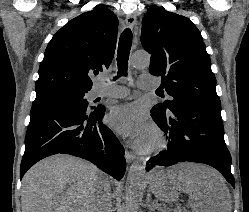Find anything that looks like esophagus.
I'll return each mask as SVG.
<instances>
[{
  "label": "esophagus",
  "instance_id": "1",
  "mask_svg": "<svg viewBox=\"0 0 249 212\" xmlns=\"http://www.w3.org/2000/svg\"><path fill=\"white\" fill-rule=\"evenodd\" d=\"M125 22L126 25L129 28H134L136 23H137V19L134 15H127L125 18ZM125 157H126V161L130 164L131 162L134 161V159L136 158L135 154H133L132 152H130L129 150H125Z\"/></svg>",
  "mask_w": 249,
  "mask_h": 212
}]
</instances>
